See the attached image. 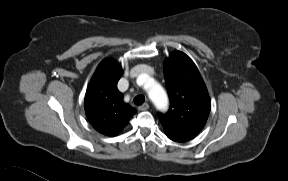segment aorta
I'll list each match as a JSON object with an SVG mask.
<instances>
[{
  "instance_id": "762f6f07",
  "label": "aorta",
  "mask_w": 288,
  "mask_h": 181,
  "mask_svg": "<svg viewBox=\"0 0 288 181\" xmlns=\"http://www.w3.org/2000/svg\"><path fill=\"white\" fill-rule=\"evenodd\" d=\"M144 79L146 82H152V86L148 89L149 97L151 100L157 105H161L163 102L166 101V93L163 88L154 82L152 78L148 75H144Z\"/></svg>"
}]
</instances>
